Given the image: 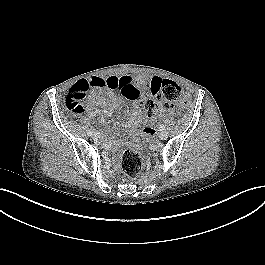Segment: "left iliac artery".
<instances>
[{
    "label": "left iliac artery",
    "instance_id": "1",
    "mask_svg": "<svg viewBox=\"0 0 265 265\" xmlns=\"http://www.w3.org/2000/svg\"><path fill=\"white\" fill-rule=\"evenodd\" d=\"M159 128H160V130H161V131L165 130V126H164L163 124H162V125H160V127H159Z\"/></svg>",
    "mask_w": 265,
    "mask_h": 265
}]
</instances>
